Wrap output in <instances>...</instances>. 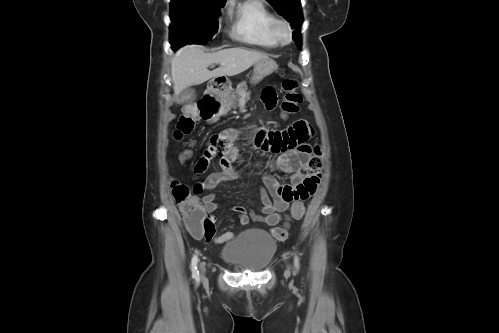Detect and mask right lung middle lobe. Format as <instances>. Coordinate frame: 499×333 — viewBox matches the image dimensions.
Returning a JSON list of instances; mask_svg holds the SVG:
<instances>
[{"label": "right lung middle lobe", "mask_w": 499, "mask_h": 333, "mask_svg": "<svg viewBox=\"0 0 499 333\" xmlns=\"http://www.w3.org/2000/svg\"><path fill=\"white\" fill-rule=\"evenodd\" d=\"M226 0H171L170 42L173 50L188 43L205 44L218 29Z\"/></svg>", "instance_id": "dd1d6c3e"}]
</instances>
